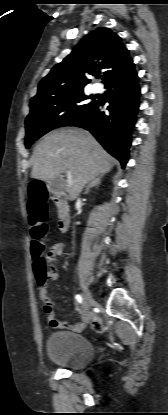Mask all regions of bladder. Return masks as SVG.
<instances>
[{
    "mask_svg": "<svg viewBox=\"0 0 168 415\" xmlns=\"http://www.w3.org/2000/svg\"><path fill=\"white\" fill-rule=\"evenodd\" d=\"M46 349L48 358L54 365L69 370L84 368L94 356L91 343L80 334L69 331L51 333Z\"/></svg>",
    "mask_w": 168,
    "mask_h": 415,
    "instance_id": "1",
    "label": "bladder"
}]
</instances>
